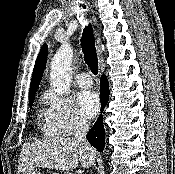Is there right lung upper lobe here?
I'll return each instance as SVG.
<instances>
[{"mask_svg": "<svg viewBox=\"0 0 175 174\" xmlns=\"http://www.w3.org/2000/svg\"><path fill=\"white\" fill-rule=\"evenodd\" d=\"M47 55H48V46L44 45V47L41 49L35 66H34V70H33V76L31 79V84H30V99L34 98V94L36 93L39 83L41 81L42 75H43V71L45 68V64H46V60H47ZM29 99V100H30Z\"/></svg>", "mask_w": 175, "mask_h": 174, "instance_id": "1", "label": "right lung upper lobe"}]
</instances>
